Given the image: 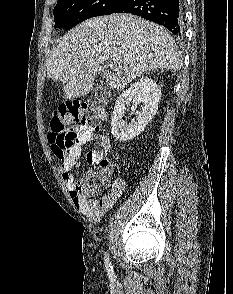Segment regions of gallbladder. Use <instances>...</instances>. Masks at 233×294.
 Wrapping results in <instances>:
<instances>
[{
    "mask_svg": "<svg viewBox=\"0 0 233 294\" xmlns=\"http://www.w3.org/2000/svg\"><path fill=\"white\" fill-rule=\"evenodd\" d=\"M110 97V89L105 84L101 83L99 86L96 87L94 98L99 102H105Z\"/></svg>",
    "mask_w": 233,
    "mask_h": 294,
    "instance_id": "gallbladder-1",
    "label": "gallbladder"
}]
</instances>
